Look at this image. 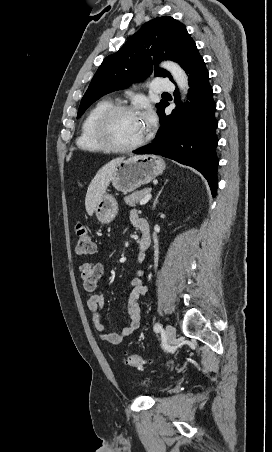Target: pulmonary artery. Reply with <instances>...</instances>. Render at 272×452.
Returning <instances> with one entry per match:
<instances>
[{
  "label": "pulmonary artery",
  "mask_w": 272,
  "mask_h": 452,
  "mask_svg": "<svg viewBox=\"0 0 272 452\" xmlns=\"http://www.w3.org/2000/svg\"><path fill=\"white\" fill-rule=\"evenodd\" d=\"M175 84L167 78H156L151 83L153 93H163L175 90Z\"/></svg>",
  "instance_id": "pulmonary-artery-1"
}]
</instances>
